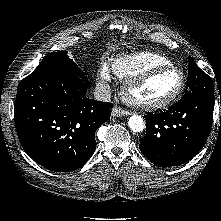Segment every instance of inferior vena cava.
<instances>
[{"label": "inferior vena cava", "mask_w": 221, "mask_h": 221, "mask_svg": "<svg viewBox=\"0 0 221 221\" xmlns=\"http://www.w3.org/2000/svg\"><path fill=\"white\" fill-rule=\"evenodd\" d=\"M94 98L97 101H110L111 98V88L109 86V84L107 83H100L99 85H97V87L95 88L94 91Z\"/></svg>", "instance_id": "1"}]
</instances>
